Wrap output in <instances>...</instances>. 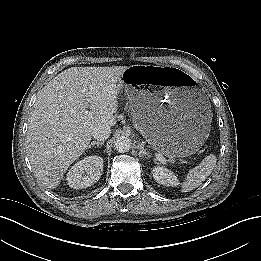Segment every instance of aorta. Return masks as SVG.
Segmentation results:
<instances>
[{
  "label": "aorta",
  "instance_id": "obj_1",
  "mask_svg": "<svg viewBox=\"0 0 261 261\" xmlns=\"http://www.w3.org/2000/svg\"><path fill=\"white\" fill-rule=\"evenodd\" d=\"M115 150L119 153H126L131 149V139L126 136H120L115 140Z\"/></svg>",
  "mask_w": 261,
  "mask_h": 261
}]
</instances>
